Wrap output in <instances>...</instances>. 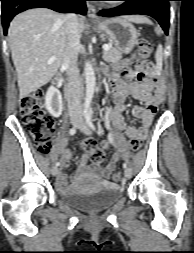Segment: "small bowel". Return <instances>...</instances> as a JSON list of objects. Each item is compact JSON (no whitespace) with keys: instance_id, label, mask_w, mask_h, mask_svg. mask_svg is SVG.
I'll use <instances>...</instances> for the list:
<instances>
[{"instance_id":"small-bowel-1","label":"small bowel","mask_w":194,"mask_h":253,"mask_svg":"<svg viewBox=\"0 0 194 253\" xmlns=\"http://www.w3.org/2000/svg\"><path fill=\"white\" fill-rule=\"evenodd\" d=\"M148 59V56H136V61H142L140 69L132 68L130 62L125 61L115 66L108 74L114 86L112 91L114 108L109 115V121L115 128L125 132L130 139L139 138L144 140L147 137L154 113L165 97L163 82L155 78L152 73L155 69V63H153V60ZM129 96L145 103V106H137L132 110L133 115L141 120L139 127L126 125L124 122L125 101ZM108 127L110 128V124H108ZM112 147L113 135L110 133L108 139L101 142V149L108 150ZM71 157V149L67 148L62 151L60 160L63 168L69 166ZM89 158V152H86L81 157L78 173L82 174L93 171L102 178H108L121 156L119 153H114L105 167H101L99 163H93L91 166L88 165ZM56 185L61 191L69 190L70 184L64 173H58Z\"/></svg>"}]
</instances>
